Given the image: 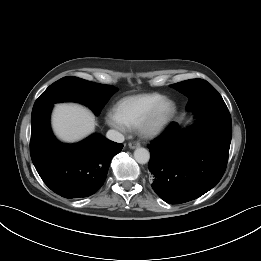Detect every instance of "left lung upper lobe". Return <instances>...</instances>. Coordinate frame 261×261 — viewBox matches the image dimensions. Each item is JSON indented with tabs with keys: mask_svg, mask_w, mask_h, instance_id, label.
Wrapping results in <instances>:
<instances>
[{
	"mask_svg": "<svg viewBox=\"0 0 261 261\" xmlns=\"http://www.w3.org/2000/svg\"><path fill=\"white\" fill-rule=\"evenodd\" d=\"M171 87L189 98L186 109L200 114L208 111H228L216 89L204 80H186Z\"/></svg>",
	"mask_w": 261,
	"mask_h": 261,
	"instance_id": "left-lung-upper-lobe-1",
	"label": "left lung upper lobe"
}]
</instances>
